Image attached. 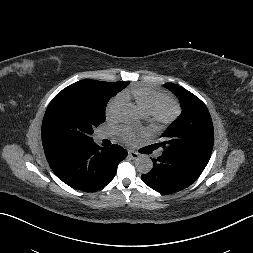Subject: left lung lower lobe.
Listing matches in <instances>:
<instances>
[{
    "mask_svg": "<svg viewBox=\"0 0 253 253\" xmlns=\"http://www.w3.org/2000/svg\"><path fill=\"white\" fill-rule=\"evenodd\" d=\"M152 161V170L141 178L149 187L163 194L175 193L190 186L205 168L165 153Z\"/></svg>",
    "mask_w": 253,
    "mask_h": 253,
    "instance_id": "1",
    "label": "left lung lower lobe"
}]
</instances>
